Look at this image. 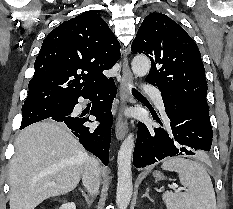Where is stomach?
Here are the masks:
<instances>
[{
    "label": "stomach",
    "instance_id": "1",
    "mask_svg": "<svg viewBox=\"0 0 233 209\" xmlns=\"http://www.w3.org/2000/svg\"><path fill=\"white\" fill-rule=\"evenodd\" d=\"M153 175L157 178V179H161L162 178V174L160 172H154Z\"/></svg>",
    "mask_w": 233,
    "mask_h": 209
}]
</instances>
